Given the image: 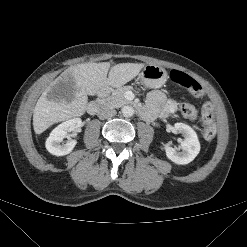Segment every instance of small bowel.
<instances>
[{"mask_svg":"<svg viewBox=\"0 0 247 247\" xmlns=\"http://www.w3.org/2000/svg\"><path fill=\"white\" fill-rule=\"evenodd\" d=\"M175 109L174 101L167 99L161 91H153L148 96L147 104L142 110V116L147 120L156 116L166 118L174 113Z\"/></svg>","mask_w":247,"mask_h":247,"instance_id":"c3829d8e","label":"small bowel"}]
</instances>
